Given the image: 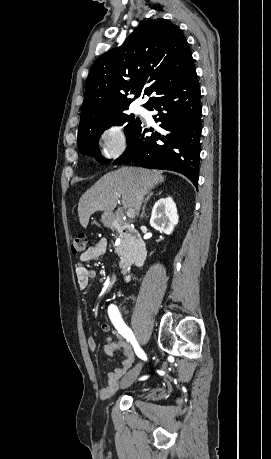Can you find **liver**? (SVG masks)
Returning <instances> with one entry per match:
<instances>
[{"label":"liver","mask_w":271,"mask_h":459,"mask_svg":"<svg viewBox=\"0 0 271 459\" xmlns=\"http://www.w3.org/2000/svg\"><path fill=\"white\" fill-rule=\"evenodd\" d=\"M161 182H164L162 172H151L144 168H119L115 172H108L81 196L78 204L81 226L87 228L94 212L111 214L120 196L125 210H135L136 198H143Z\"/></svg>","instance_id":"obj_1"}]
</instances>
